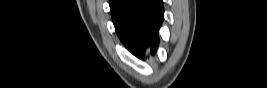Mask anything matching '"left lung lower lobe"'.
<instances>
[{"instance_id":"obj_1","label":"left lung lower lobe","mask_w":267,"mask_h":88,"mask_svg":"<svg viewBox=\"0 0 267 88\" xmlns=\"http://www.w3.org/2000/svg\"><path fill=\"white\" fill-rule=\"evenodd\" d=\"M110 11L116 32L130 52L144 58L147 46L154 51L163 21L161 0H110Z\"/></svg>"}]
</instances>
